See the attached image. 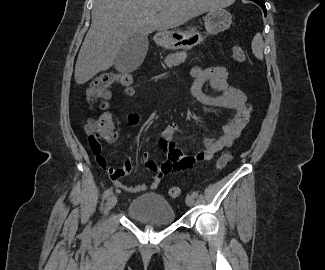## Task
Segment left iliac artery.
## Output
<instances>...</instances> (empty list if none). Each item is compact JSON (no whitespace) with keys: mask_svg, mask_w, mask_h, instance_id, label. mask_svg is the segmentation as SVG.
<instances>
[{"mask_svg":"<svg viewBox=\"0 0 325 270\" xmlns=\"http://www.w3.org/2000/svg\"><path fill=\"white\" fill-rule=\"evenodd\" d=\"M192 196H193L194 198L198 197V192H196V191L192 192Z\"/></svg>","mask_w":325,"mask_h":270,"instance_id":"1","label":"left iliac artery"}]
</instances>
